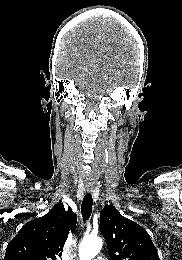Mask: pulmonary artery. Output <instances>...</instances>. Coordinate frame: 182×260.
Segmentation results:
<instances>
[{
    "mask_svg": "<svg viewBox=\"0 0 182 260\" xmlns=\"http://www.w3.org/2000/svg\"><path fill=\"white\" fill-rule=\"evenodd\" d=\"M95 260H104L102 257H97Z\"/></svg>",
    "mask_w": 182,
    "mask_h": 260,
    "instance_id": "obj_1",
    "label": "pulmonary artery"
}]
</instances>
